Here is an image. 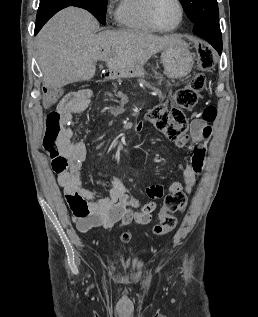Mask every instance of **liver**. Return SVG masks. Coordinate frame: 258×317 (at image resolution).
I'll return each instance as SVG.
<instances>
[{
    "mask_svg": "<svg viewBox=\"0 0 258 317\" xmlns=\"http://www.w3.org/2000/svg\"><path fill=\"white\" fill-rule=\"evenodd\" d=\"M98 30L95 16L76 6L63 8L44 24L36 36V54L49 92L89 80L97 60H105L110 70L138 72L152 54L182 40L179 34L156 36L147 30Z\"/></svg>",
    "mask_w": 258,
    "mask_h": 317,
    "instance_id": "6515ba94",
    "label": "liver"
}]
</instances>
